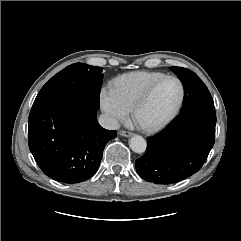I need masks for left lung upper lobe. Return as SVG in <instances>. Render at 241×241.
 I'll list each match as a JSON object with an SVG mask.
<instances>
[{"mask_svg":"<svg viewBox=\"0 0 241 241\" xmlns=\"http://www.w3.org/2000/svg\"><path fill=\"white\" fill-rule=\"evenodd\" d=\"M184 86L182 111L201 105H214L211 94L203 81L192 71L182 67H171Z\"/></svg>","mask_w":241,"mask_h":241,"instance_id":"left-lung-upper-lobe-1","label":"left lung upper lobe"}]
</instances>
